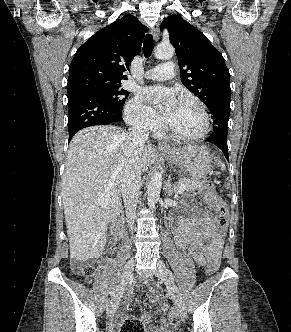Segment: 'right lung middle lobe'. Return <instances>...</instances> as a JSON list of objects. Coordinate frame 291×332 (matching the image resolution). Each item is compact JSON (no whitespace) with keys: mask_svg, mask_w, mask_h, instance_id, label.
<instances>
[{"mask_svg":"<svg viewBox=\"0 0 291 332\" xmlns=\"http://www.w3.org/2000/svg\"><path fill=\"white\" fill-rule=\"evenodd\" d=\"M86 92L105 99L120 111H122L123 105L129 95V92L122 89L121 85L97 86Z\"/></svg>","mask_w":291,"mask_h":332,"instance_id":"dd1d6c3e","label":"right lung middle lobe"}]
</instances>
